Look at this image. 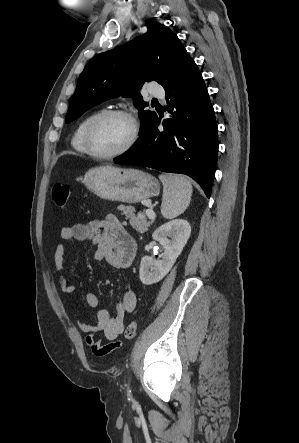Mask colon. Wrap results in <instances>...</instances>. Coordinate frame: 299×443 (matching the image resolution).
Masks as SVG:
<instances>
[{"mask_svg": "<svg viewBox=\"0 0 299 443\" xmlns=\"http://www.w3.org/2000/svg\"><path fill=\"white\" fill-rule=\"evenodd\" d=\"M70 196V186L66 183H56L51 192L53 203L60 207H66ZM137 322L130 321L125 328L124 336L126 339H133L137 334Z\"/></svg>", "mask_w": 299, "mask_h": 443, "instance_id": "colon-1", "label": "colon"}]
</instances>
